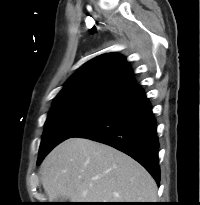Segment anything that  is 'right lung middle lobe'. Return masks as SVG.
Masks as SVG:
<instances>
[{
	"instance_id": "right-lung-middle-lobe-1",
	"label": "right lung middle lobe",
	"mask_w": 200,
	"mask_h": 205,
	"mask_svg": "<svg viewBox=\"0 0 200 205\" xmlns=\"http://www.w3.org/2000/svg\"><path fill=\"white\" fill-rule=\"evenodd\" d=\"M115 100L77 98L53 104L45 123L37 164L60 142L97 119Z\"/></svg>"
}]
</instances>
